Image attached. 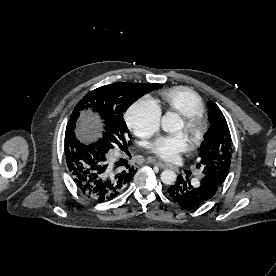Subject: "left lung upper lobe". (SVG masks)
Here are the masks:
<instances>
[{"label": "left lung upper lobe", "mask_w": 276, "mask_h": 276, "mask_svg": "<svg viewBox=\"0 0 276 276\" xmlns=\"http://www.w3.org/2000/svg\"><path fill=\"white\" fill-rule=\"evenodd\" d=\"M210 106L211 127L201 144L196 167L202 170L203 176L214 178L220 188L229 173L232 140L224 115L215 104L210 102Z\"/></svg>", "instance_id": "left-lung-upper-lobe-1"}]
</instances>
